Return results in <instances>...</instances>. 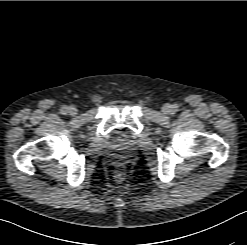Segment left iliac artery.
I'll use <instances>...</instances> for the list:
<instances>
[{
	"instance_id": "obj_1",
	"label": "left iliac artery",
	"mask_w": 247,
	"mask_h": 245,
	"mask_svg": "<svg viewBox=\"0 0 247 245\" xmlns=\"http://www.w3.org/2000/svg\"><path fill=\"white\" fill-rule=\"evenodd\" d=\"M172 108H173L172 111H173V112H176V111L178 110V105H177V104H174Z\"/></svg>"
}]
</instances>
